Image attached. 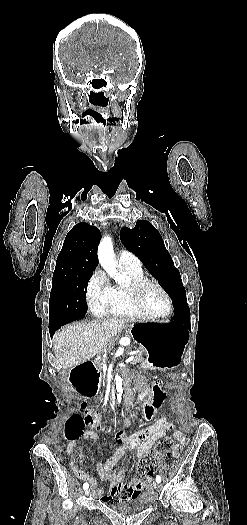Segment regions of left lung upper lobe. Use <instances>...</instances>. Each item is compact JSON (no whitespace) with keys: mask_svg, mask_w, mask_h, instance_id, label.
<instances>
[{"mask_svg":"<svg viewBox=\"0 0 247 525\" xmlns=\"http://www.w3.org/2000/svg\"><path fill=\"white\" fill-rule=\"evenodd\" d=\"M120 238L123 245L142 261L170 295L175 316L189 315L190 310L180 273L175 268L158 230L149 221L140 220L132 229L122 228Z\"/></svg>","mask_w":247,"mask_h":525,"instance_id":"5c2ea615","label":"left lung upper lobe"}]
</instances>
